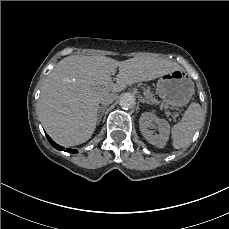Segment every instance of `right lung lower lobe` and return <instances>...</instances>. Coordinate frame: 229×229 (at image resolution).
I'll return each mask as SVG.
<instances>
[{
    "label": "right lung lower lobe",
    "instance_id": "obj_1",
    "mask_svg": "<svg viewBox=\"0 0 229 229\" xmlns=\"http://www.w3.org/2000/svg\"><path fill=\"white\" fill-rule=\"evenodd\" d=\"M46 137H47L49 143H50L54 148H56V149H58V150H63V151H65V150H64V147H62V146L56 144L47 134H46ZM66 151H68L69 153H78V151H77L76 149H69V148H67Z\"/></svg>",
    "mask_w": 229,
    "mask_h": 229
}]
</instances>
